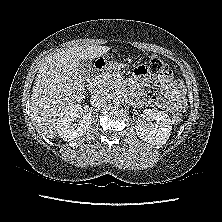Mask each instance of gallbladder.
I'll return each instance as SVG.
<instances>
[{
  "instance_id": "gallbladder-1",
  "label": "gallbladder",
  "mask_w": 222,
  "mask_h": 222,
  "mask_svg": "<svg viewBox=\"0 0 222 222\" xmlns=\"http://www.w3.org/2000/svg\"><path fill=\"white\" fill-rule=\"evenodd\" d=\"M81 76L84 79V84L88 81L91 73V62L88 60L81 61L80 63Z\"/></svg>"
}]
</instances>
